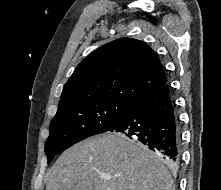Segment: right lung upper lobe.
Masks as SVG:
<instances>
[{"mask_svg":"<svg viewBox=\"0 0 221 190\" xmlns=\"http://www.w3.org/2000/svg\"><path fill=\"white\" fill-rule=\"evenodd\" d=\"M167 81L157 54L146 43L117 39L92 52L76 67L63 88L58 109L98 100L133 104Z\"/></svg>","mask_w":221,"mask_h":190,"instance_id":"right-lung-upper-lobe-1","label":"right lung upper lobe"}]
</instances>
